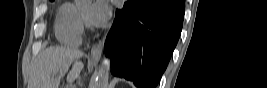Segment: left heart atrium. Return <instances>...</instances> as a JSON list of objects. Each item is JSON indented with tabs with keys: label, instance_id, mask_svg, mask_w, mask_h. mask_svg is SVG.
I'll use <instances>...</instances> for the list:
<instances>
[{
	"label": "left heart atrium",
	"instance_id": "39dd6f15",
	"mask_svg": "<svg viewBox=\"0 0 267 88\" xmlns=\"http://www.w3.org/2000/svg\"><path fill=\"white\" fill-rule=\"evenodd\" d=\"M109 13L110 10L106 1H96L91 5L87 13L88 22L93 26H102L106 23Z\"/></svg>",
	"mask_w": 267,
	"mask_h": 88
}]
</instances>
